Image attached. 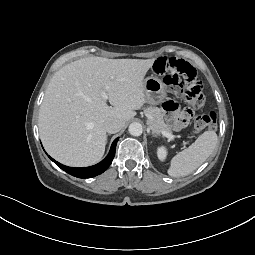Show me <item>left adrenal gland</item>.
Returning a JSON list of instances; mask_svg holds the SVG:
<instances>
[{
  "mask_svg": "<svg viewBox=\"0 0 255 255\" xmlns=\"http://www.w3.org/2000/svg\"><path fill=\"white\" fill-rule=\"evenodd\" d=\"M149 134H151V135H153L154 137H158L156 134H154V133H149Z\"/></svg>",
  "mask_w": 255,
  "mask_h": 255,
  "instance_id": "left-adrenal-gland-1",
  "label": "left adrenal gland"
}]
</instances>
